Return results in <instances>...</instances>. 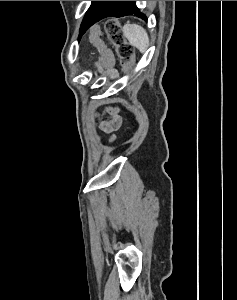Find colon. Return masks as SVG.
I'll return each instance as SVG.
<instances>
[{"mask_svg": "<svg viewBox=\"0 0 237 300\" xmlns=\"http://www.w3.org/2000/svg\"><path fill=\"white\" fill-rule=\"evenodd\" d=\"M105 33L108 40L115 48L116 55L125 73L129 74L134 61V50L132 45L126 40L119 20L113 18L105 23ZM91 42L100 50V65L107 67L111 64L112 58L109 50L101 40V31L94 26L90 31Z\"/></svg>", "mask_w": 237, "mask_h": 300, "instance_id": "5ec220e1", "label": "colon"}]
</instances>
